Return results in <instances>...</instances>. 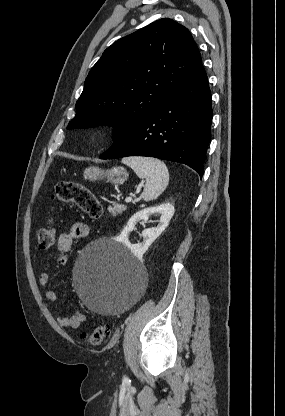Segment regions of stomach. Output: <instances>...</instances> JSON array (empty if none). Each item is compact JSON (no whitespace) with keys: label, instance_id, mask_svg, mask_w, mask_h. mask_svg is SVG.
Here are the masks:
<instances>
[{"label":"stomach","instance_id":"0dacf381","mask_svg":"<svg viewBox=\"0 0 285 416\" xmlns=\"http://www.w3.org/2000/svg\"><path fill=\"white\" fill-rule=\"evenodd\" d=\"M85 180H90V182H95V180H107L110 184H124L126 182L129 174L124 170V168H112V170H101V168H96V166H90L86 168L83 174Z\"/></svg>","mask_w":285,"mask_h":416}]
</instances>
